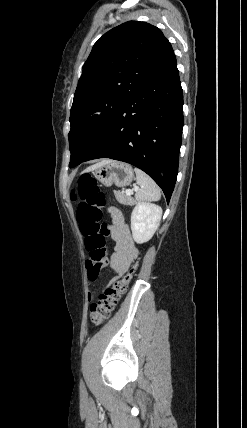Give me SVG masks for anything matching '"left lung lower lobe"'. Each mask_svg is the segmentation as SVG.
<instances>
[{
	"label": "left lung lower lobe",
	"instance_id": "left-lung-lower-lobe-1",
	"mask_svg": "<svg viewBox=\"0 0 247 428\" xmlns=\"http://www.w3.org/2000/svg\"><path fill=\"white\" fill-rule=\"evenodd\" d=\"M183 125V92L173 54L122 103L83 162L111 158L132 164L161 187L169 203Z\"/></svg>",
	"mask_w": 247,
	"mask_h": 428
}]
</instances>
